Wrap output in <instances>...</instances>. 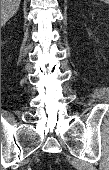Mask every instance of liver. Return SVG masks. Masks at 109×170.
Returning <instances> with one entry per match:
<instances>
[{
  "instance_id": "6515ba94",
  "label": "liver",
  "mask_w": 109,
  "mask_h": 170,
  "mask_svg": "<svg viewBox=\"0 0 109 170\" xmlns=\"http://www.w3.org/2000/svg\"><path fill=\"white\" fill-rule=\"evenodd\" d=\"M21 0H1V24L13 17L19 9Z\"/></svg>"
}]
</instances>
